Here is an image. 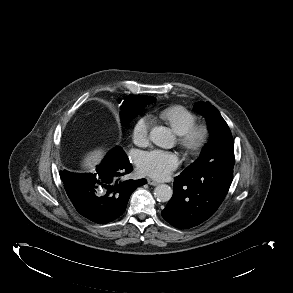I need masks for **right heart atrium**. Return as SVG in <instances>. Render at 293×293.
<instances>
[{
	"mask_svg": "<svg viewBox=\"0 0 293 293\" xmlns=\"http://www.w3.org/2000/svg\"><path fill=\"white\" fill-rule=\"evenodd\" d=\"M152 125L150 116H141L136 120L132 128V137L136 144L144 145L148 141L149 130Z\"/></svg>",
	"mask_w": 293,
	"mask_h": 293,
	"instance_id": "1",
	"label": "right heart atrium"
}]
</instances>
